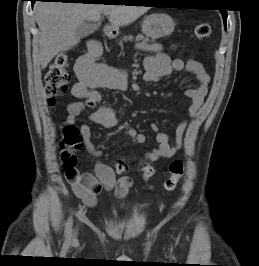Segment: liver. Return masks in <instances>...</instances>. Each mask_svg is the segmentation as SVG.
Returning <instances> with one entry per match:
<instances>
[{
  "instance_id": "1",
  "label": "liver",
  "mask_w": 259,
  "mask_h": 266,
  "mask_svg": "<svg viewBox=\"0 0 259 266\" xmlns=\"http://www.w3.org/2000/svg\"><path fill=\"white\" fill-rule=\"evenodd\" d=\"M149 10L145 6L37 2L34 5L40 29L39 61L42 69L59 53L80 42L76 30L84 22H98L101 13L109 12L111 26H126Z\"/></svg>"
}]
</instances>
